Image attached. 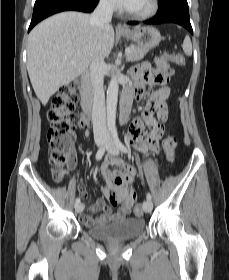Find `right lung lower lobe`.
Returning <instances> with one entry per match:
<instances>
[{
	"label": "right lung lower lobe",
	"instance_id": "obj_1",
	"mask_svg": "<svg viewBox=\"0 0 229 280\" xmlns=\"http://www.w3.org/2000/svg\"><path fill=\"white\" fill-rule=\"evenodd\" d=\"M98 2L99 0H36L28 31L41 20L58 12L69 10L92 12Z\"/></svg>",
	"mask_w": 229,
	"mask_h": 280
}]
</instances>
